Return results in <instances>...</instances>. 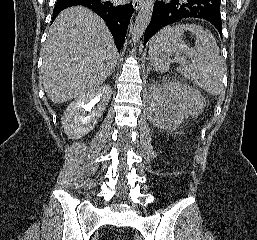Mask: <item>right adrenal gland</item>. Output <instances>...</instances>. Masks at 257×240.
I'll use <instances>...</instances> for the list:
<instances>
[{
  "instance_id": "obj_1",
  "label": "right adrenal gland",
  "mask_w": 257,
  "mask_h": 240,
  "mask_svg": "<svg viewBox=\"0 0 257 240\" xmlns=\"http://www.w3.org/2000/svg\"><path fill=\"white\" fill-rule=\"evenodd\" d=\"M113 75V77L115 78V69H113V71L110 73L109 77Z\"/></svg>"
}]
</instances>
